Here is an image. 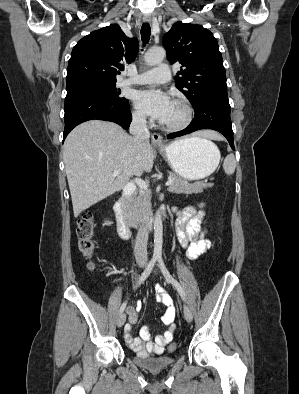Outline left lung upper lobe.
<instances>
[{
  "mask_svg": "<svg viewBox=\"0 0 299 394\" xmlns=\"http://www.w3.org/2000/svg\"><path fill=\"white\" fill-rule=\"evenodd\" d=\"M162 43L171 64L180 62L176 87L192 106L214 93H227L222 55L213 34L201 25L177 22Z\"/></svg>",
  "mask_w": 299,
  "mask_h": 394,
  "instance_id": "5c2ea615",
  "label": "left lung upper lobe"
}]
</instances>
